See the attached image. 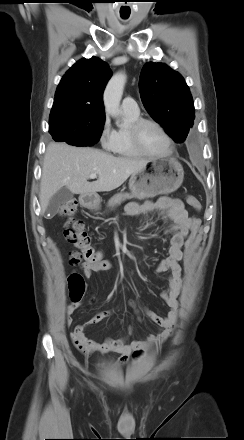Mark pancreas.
Wrapping results in <instances>:
<instances>
[{"mask_svg": "<svg viewBox=\"0 0 244 440\" xmlns=\"http://www.w3.org/2000/svg\"><path fill=\"white\" fill-rule=\"evenodd\" d=\"M139 198L144 199L143 196H137L135 194H129V193H118L114 195L109 201H108V207H116L117 205H120L123 201L126 199H132V198Z\"/></svg>", "mask_w": 244, "mask_h": 440, "instance_id": "cf45deb5", "label": "pancreas"}]
</instances>
